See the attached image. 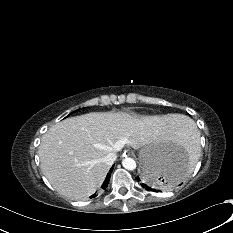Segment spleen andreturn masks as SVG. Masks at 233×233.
<instances>
[{
	"label": "spleen",
	"instance_id": "obj_1",
	"mask_svg": "<svg viewBox=\"0 0 233 233\" xmlns=\"http://www.w3.org/2000/svg\"><path fill=\"white\" fill-rule=\"evenodd\" d=\"M177 133L179 134V142L177 144L178 151L185 154V158L188 162H197L200 158V153L198 131L194 123L189 118L185 117L183 127ZM183 178L184 176H181L179 182L182 181Z\"/></svg>",
	"mask_w": 233,
	"mask_h": 233
}]
</instances>
